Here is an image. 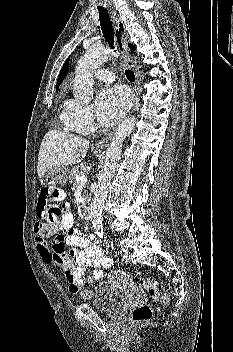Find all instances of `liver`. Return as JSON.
<instances>
[{"label":"liver","instance_id":"1","mask_svg":"<svg viewBox=\"0 0 233 352\" xmlns=\"http://www.w3.org/2000/svg\"><path fill=\"white\" fill-rule=\"evenodd\" d=\"M86 139L57 130H50L44 136L38 154L37 173L41 179L54 166H68L80 163L89 149Z\"/></svg>","mask_w":233,"mask_h":352}]
</instances>
